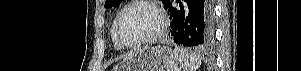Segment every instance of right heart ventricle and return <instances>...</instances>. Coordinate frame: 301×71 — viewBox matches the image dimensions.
<instances>
[{"mask_svg":"<svg viewBox=\"0 0 301 71\" xmlns=\"http://www.w3.org/2000/svg\"><path fill=\"white\" fill-rule=\"evenodd\" d=\"M111 37H112V41H113L114 47L117 50H123V47L117 42V40L115 38V35H114V24L111 27Z\"/></svg>","mask_w":301,"mask_h":71,"instance_id":"1","label":"right heart ventricle"}]
</instances>
